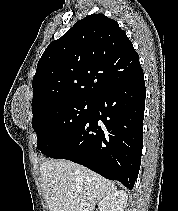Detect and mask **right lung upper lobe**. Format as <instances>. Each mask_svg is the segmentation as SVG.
<instances>
[{"instance_id": "obj_1", "label": "right lung upper lobe", "mask_w": 178, "mask_h": 211, "mask_svg": "<svg viewBox=\"0 0 178 211\" xmlns=\"http://www.w3.org/2000/svg\"><path fill=\"white\" fill-rule=\"evenodd\" d=\"M139 69V56L118 23L103 14L86 16L40 58L33 77V114L58 101L94 99Z\"/></svg>"}]
</instances>
